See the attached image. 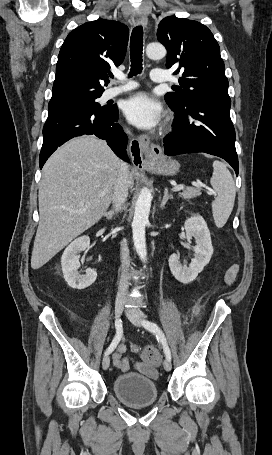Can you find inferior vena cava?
Returning a JSON list of instances; mask_svg holds the SVG:
<instances>
[{
  "label": "inferior vena cava",
  "instance_id": "1",
  "mask_svg": "<svg viewBox=\"0 0 272 455\" xmlns=\"http://www.w3.org/2000/svg\"><path fill=\"white\" fill-rule=\"evenodd\" d=\"M129 187V167L125 162H121L118 176L116 179L112 202L115 207V211H121L123 204L125 203L128 196ZM121 263H122V276L118 287V297H124L128 290L127 276L124 274L129 266V249L127 247L126 240L121 244Z\"/></svg>",
  "mask_w": 272,
  "mask_h": 455
}]
</instances>
